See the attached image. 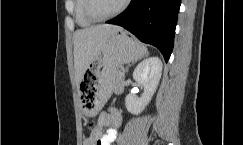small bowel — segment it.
<instances>
[{"label":"small bowel","mask_w":243,"mask_h":145,"mask_svg":"<svg viewBox=\"0 0 243 145\" xmlns=\"http://www.w3.org/2000/svg\"><path fill=\"white\" fill-rule=\"evenodd\" d=\"M120 124L121 116L118 111L101 113L96 126L91 128L90 134L84 140L83 145H111L117 139ZM103 127H107L106 133H103Z\"/></svg>","instance_id":"c3829d8e"}]
</instances>
